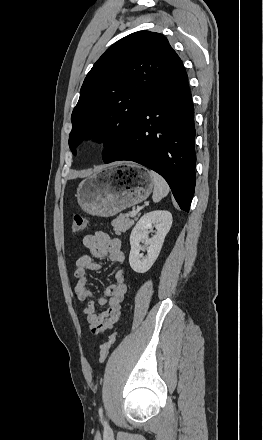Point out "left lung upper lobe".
Here are the masks:
<instances>
[{
  "label": "left lung upper lobe",
  "instance_id": "left-lung-upper-lobe-1",
  "mask_svg": "<svg viewBox=\"0 0 263 440\" xmlns=\"http://www.w3.org/2000/svg\"><path fill=\"white\" fill-rule=\"evenodd\" d=\"M174 54L162 34L149 31L135 32L109 47L87 74L72 112V153L89 138L105 141V163L126 151L134 122Z\"/></svg>",
  "mask_w": 263,
  "mask_h": 440
}]
</instances>
